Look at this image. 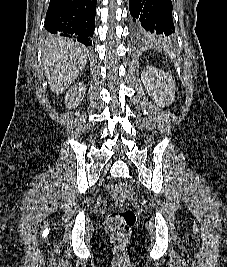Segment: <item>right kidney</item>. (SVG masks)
<instances>
[{
    "label": "right kidney",
    "mask_w": 227,
    "mask_h": 267,
    "mask_svg": "<svg viewBox=\"0 0 227 267\" xmlns=\"http://www.w3.org/2000/svg\"><path fill=\"white\" fill-rule=\"evenodd\" d=\"M86 86L83 82H78L72 86L65 96V104L70 109L76 107L83 100L85 94Z\"/></svg>",
    "instance_id": "obj_1"
}]
</instances>
